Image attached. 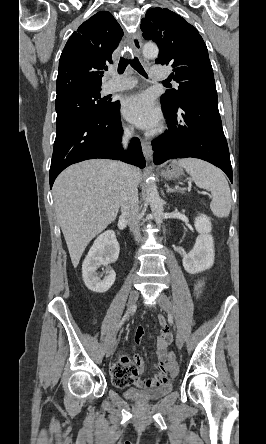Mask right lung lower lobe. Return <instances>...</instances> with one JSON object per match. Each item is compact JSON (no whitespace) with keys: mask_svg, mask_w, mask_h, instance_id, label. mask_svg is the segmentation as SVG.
<instances>
[{"mask_svg":"<svg viewBox=\"0 0 266 444\" xmlns=\"http://www.w3.org/2000/svg\"><path fill=\"white\" fill-rule=\"evenodd\" d=\"M120 103L112 111L92 121L73 125L56 135L50 167V188L60 172L71 164L94 158L121 160L145 167V159L138 138H133L129 149L121 146Z\"/></svg>","mask_w":266,"mask_h":444,"instance_id":"98d812e1","label":"right lung lower lobe"}]
</instances>
